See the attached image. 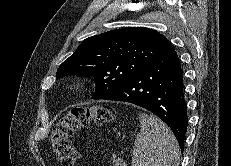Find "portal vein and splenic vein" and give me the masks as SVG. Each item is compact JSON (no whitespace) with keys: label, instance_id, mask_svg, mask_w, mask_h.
<instances>
[{"label":"portal vein and splenic vein","instance_id":"portal-vein-and-splenic-vein-1","mask_svg":"<svg viewBox=\"0 0 231 166\" xmlns=\"http://www.w3.org/2000/svg\"><path fill=\"white\" fill-rule=\"evenodd\" d=\"M116 161L120 166H126L125 162L121 158H117Z\"/></svg>","mask_w":231,"mask_h":166}]
</instances>
